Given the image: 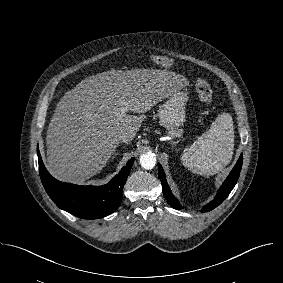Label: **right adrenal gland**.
<instances>
[{"mask_svg": "<svg viewBox=\"0 0 283 283\" xmlns=\"http://www.w3.org/2000/svg\"><path fill=\"white\" fill-rule=\"evenodd\" d=\"M116 147H117V145H115L114 154H113L114 156L112 157V159L115 158L118 155V153H116Z\"/></svg>", "mask_w": 283, "mask_h": 283, "instance_id": "obj_1", "label": "right adrenal gland"}]
</instances>
